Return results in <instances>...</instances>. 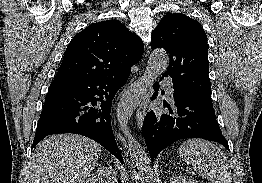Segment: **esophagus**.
Here are the masks:
<instances>
[{
    "mask_svg": "<svg viewBox=\"0 0 262 183\" xmlns=\"http://www.w3.org/2000/svg\"><path fill=\"white\" fill-rule=\"evenodd\" d=\"M149 98H150V92L148 91L145 94V96L143 97V100L141 101V103H140V105L137 109L136 119H137L139 126H141L143 124V120H144V116H145V112H146V106H147V103L149 101Z\"/></svg>",
    "mask_w": 262,
    "mask_h": 183,
    "instance_id": "obj_1",
    "label": "esophagus"
}]
</instances>
